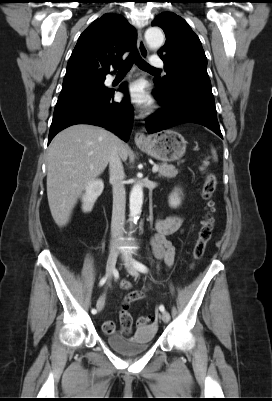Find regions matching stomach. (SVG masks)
Returning <instances> with one entry per match:
<instances>
[{"label": "stomach", "instance_id": "1", "mask_svg": "<svg viewBox=\"0 0 272 401\" xmlns=\"http://www.w3.org/2000/svg\"><path fill=\"white\" fill-rule=\"evenodd\" d=\"M186 144L187 141L179 132L165 130L149 137L147 142L139 147L157 160L170 162L184 155Z\"/></svg>", "mask_w": 272, "mask_h": 401}]
</instances>
